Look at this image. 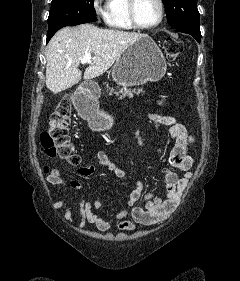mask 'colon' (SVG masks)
<instances>
[{"label":"colon","mask_w":240,"mask_h":281,"mask_svg":"<svg viewBox=\"0 0 240 281\" xmlns=\"http://www.w3.org/2000/svg\"><path fill=\"white\" fill-rule=\"evenodd\" d=\"M180 41L168 38L164 43V51L168 59L175 60L182 53ZM72 106L68 98H63L50 117V126L41 133L40 140L45 154L50 158L60 157L72 166L81 164V157L71 143L68 126L70 124ZM49 172V168L45 167Z\"/></svg>","instance_id":"colon-1"}]
</instances>
